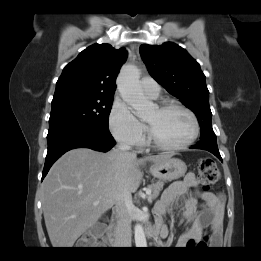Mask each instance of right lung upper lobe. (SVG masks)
Here are the masks:
<instances>
[{
    "mask_svg": "<svg viewBox=\"0 0 261 261\" xmlns=\"http://www.w3.org/2000/svg\"><path fill=\"white\" fill-rule=\"evenodd\" d=\"M127 52L110 44H93L83 50L64 69L55 94L74 93L113 96L116 78Z\"/></svg>",
    "mask_w": 261,
    "mask_h": 261,
    "instance_id": "obj_1",
    "label": "right lung upper lobe"
}]
</instances>
